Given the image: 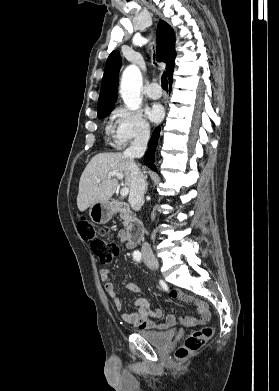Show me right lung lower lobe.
I'll list each match as a JSON object with an SVG mask.
<instances>
[{
	"label": "right lung lower lobe",
	"mask_w": 279,
	"mask_h": 391,
	"mask_svg": "<svg viewBox=\"0 0 279 391\" xmlns=\"http://www.w3.org/2000/svg\"><path fill=\"white\" fill-rule=\"evenodd\" d=\"M172 82L173 80H170L169 83H170V86L172 85ZM159 134H160V127H157L153 134H152V137H151V140H150V144H149V149L148 151L146 152L145 154V159H144V163L150 167L151 169L153 170H156L155 166H154V152H155V148L157 146V142H158V138H159Z\"/></svg>",
	"instance_id": "right-lung-lower-lobe-1"
}]
</instances>
